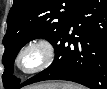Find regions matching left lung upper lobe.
Here are the masks:
<instances>
[{"label": "left lung upper lobe", "mask_w": 107, "mask_h": 89, "mask_svg": "<svg viewBox=\"0 0 107 89\" xmlns=\"http://www.w3.org/2000/svg\"><path fill=\"white\" fill-rule=\"evenodd\" d=\"M82 0H14L7 17V32L3 38L5 71L3 85L16 89L20 81L13 76V63L19 50L35 38H45L52 44L59 36L72 12Z\"/></svg>", "instance_id": "1"}]
</instances>
